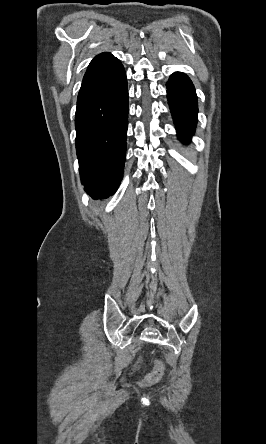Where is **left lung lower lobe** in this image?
I'll use <instances>...</instances> for the list:
<instances>
[{"label":"left lung lower lobe","mask_w":266,"mask_h":444,"mask_svg":"<svg viewBox=\"0 0 266 444\" xmlns=\"http://www.w3.org/2000/svg\"><path fill=\"white\" fill-rule=\"evenodd\" d=\"M167 97L178 137L188 142L197 122V96L191 80L181 72L173 73L167 82Z\"/></svg>","instance_id":"obj_1"}]
</instances>
